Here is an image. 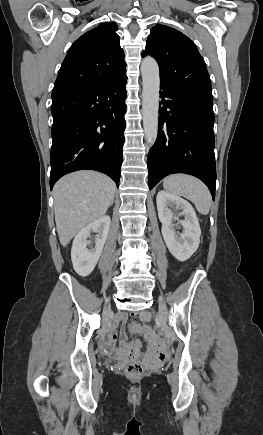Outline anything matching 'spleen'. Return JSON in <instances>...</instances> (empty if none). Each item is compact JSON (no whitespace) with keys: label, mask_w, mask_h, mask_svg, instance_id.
<instances>
[{"label":"spleen","mask_w":263,"mask_h":435,"mask_svg":"<svg viewBox=\"0 0 263 435\" xmlns=\"http://www.w3.org/2000/svg\"><path fill=\"white\" fill-rule=\"evenodd\" d=\"M163 187L166 191L191 200L199 213H209L211 194L201 180L186 174H174L164 179Z\"/></svg>","instance_id":"obj_1"}]
</instances>
